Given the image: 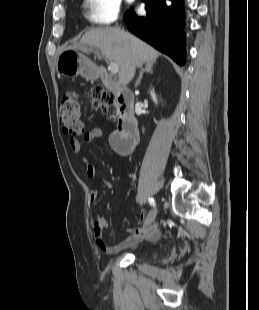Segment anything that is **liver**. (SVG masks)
<instances>
[{
  "instance_id": "liver-1",
  "label": "liver",
  "mask_w": 259,
  "mask_h": 310,
  "mask_svg": "<svg viewBox=\"0 0 259 310\" xmlns=\"http://www.w3.org/2000/svg\"><path fill=\"white\" fill-rule=\"evenodd\" d=\"M98 48L110 61L118 64L119 81L126 86L133 79L136 67L155 62L159 52L153 47L119 28H96L86 32L71 48Z\"/></svg>"
}]
</instances>
